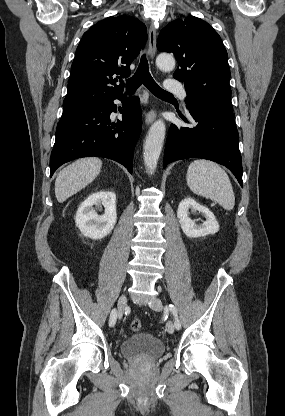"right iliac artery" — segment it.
<instances>
[{"instance_id": "obj_1", "label": "right iliac artery", "mask_w": 285, "mask_h": 416, "mask_svg": "<svg viewBox=\"0 0 285 416\" xmlns=\"http://www.w3.org/2000/svg\"><path fill=\"white\" fill-rule=\"evenodd\" d=\"M116 316H117V311L116 309H112L111 313H110V318H109V326H114L116 323Z\"/></svg>"}]
</instances>
